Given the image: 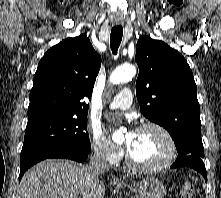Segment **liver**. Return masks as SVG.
Returning a JSON list of instances; mask_svg holds the SVG:
<instances>
[{"instance_id":"6515ba94","label":"liver","mask_w":221,"mask_h":198,"mask_svg":"<svg viewBox=\"0 0 221 198\" xmlns=\"http://www.w3.org/2000/svg\"><path fill=\"white\" fill-rule=\"evenodd\" d=\"M99 176L73 161L45 160L24 174L19 198H104L105 185Z\"/></svg>"}]
</instances>
